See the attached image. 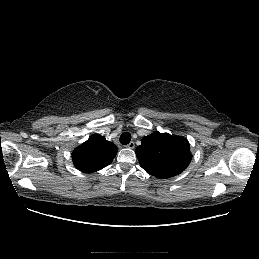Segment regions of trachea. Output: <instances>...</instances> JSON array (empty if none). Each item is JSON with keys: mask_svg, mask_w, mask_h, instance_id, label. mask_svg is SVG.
Returning <instances> with one entry per match:
<instances>
[{"mask_svg": "<svg viewBox=\"0 0 259 259\" xmlns=\"http://www.w3.org/2000/svg\"><path fill=\"white\" fill-rule=\"evenodd\" d=\"M131 140V134L128 132H124L120 136V143L123 145H127Z\"/></svg>", "mask_w": 259, "mask_h": 259, "instance_id": "1", "label": "trachea"}]
</instances>
